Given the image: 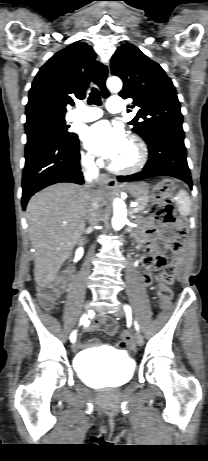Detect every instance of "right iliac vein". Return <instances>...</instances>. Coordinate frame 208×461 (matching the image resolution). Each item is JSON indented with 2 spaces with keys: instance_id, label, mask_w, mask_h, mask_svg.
Segmentation results:
<instances>
[{
  "instance_id": "obj_1",
  "label": "right iliac vein",
  "mask_w": 208,
  "mask_h": 461,
  "mask_svg": "<svg viewBox=\"0 0 208 461\" xmlns=\"http://www.w3.org/2000/svg\"><path fill=\"white\" fill-rule=\"evenodd\" d=\"M90 310H91V301H88L84 306V313H88ZM78 347H79L78 342H74L72 345V351L76 353L78 350Z\"/></svg>"
}]
</instances>
